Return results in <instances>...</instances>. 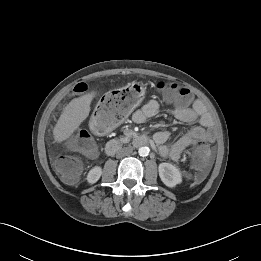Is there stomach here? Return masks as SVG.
Segmentation results:
<instances>
[{"mask_svg":"<svg viewBox=\"0 0 261 261\" xmlns=\"http://www.w3.org/2000/svg\"><path fill=\"white\" fill-rule=\"evenodd\" d=\"M121 94L125 96L128 102V113H130L142 102L145 96V88L139 82H132L121 90ZM117 125L118 123H107L101 120L97 113L92 115L90 121V129L96 135H105Z\"/></svg>","mask_w":261,"mask_h":261,"instance_id":"stomach-1","label":"stomach"}]
</instances>
